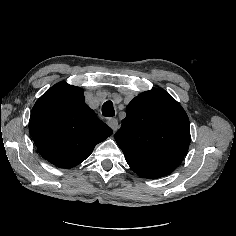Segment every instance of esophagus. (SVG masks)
I'll return each mask as SVG.
<instances>
[{
    "instance_id": "obj_1",
    "label": "esophagus",
    "mask_w": 236,
    "mask_h": 236,
    "mask_svg": "<svg viewBox=\"0 0 236 236\" xmlns=\"http://www.w3.org/2000/svg\"><path fill=\"white\" fill-rule=\"evenodd\" d=\"M108 125L116 131L118 128V120L116 118H111L107 121Z\"/></svg>"
}]
</instances>
